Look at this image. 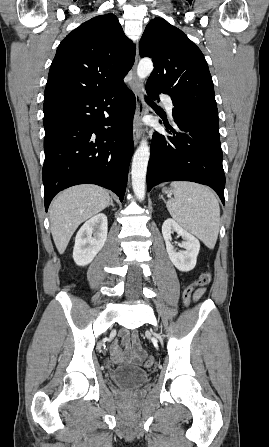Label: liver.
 <instances>
[{
	"label": "liver",
	"mask_w": 269,
	"mask_h": 447,
	"mask_svg": "<svg viewBox=\"0 0 269 447\" xmlns=\"http://www.w3.org/2000/svg\"><path fill=\"white\" fill-rule=\"evenodd\" d=\"M110 204L107 190L99 186H73L56 196L50 208L51 233L59 253H64L78 225Z\"/></svg>",
	"instance_id": "1"
}]
</instances>
